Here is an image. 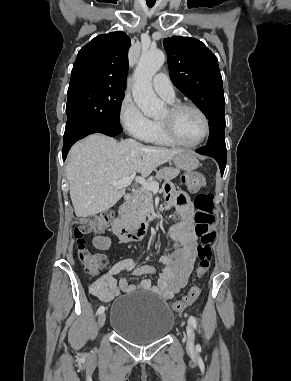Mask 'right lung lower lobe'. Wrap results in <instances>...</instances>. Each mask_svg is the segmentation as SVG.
Instances as JSON below:
<instances>
[{
  "label": "right lung lower lobe",
  "instance_id": "1",
  "mask_svg": "<svg viewBox=\"0 0 291 381\" xmlns=\"http://www.w3.org/2000/svg\"><path fill=\"white\" fill-rule=\"evenodd\" d=\"M121 132H122V127L120 126V124H110V125H102V126L92 128L86 131L85 133H83L81 136H79L76 139H71V140L64 139L63 151H62L63 161L66 159L68 151L71 148V146L79 139H82L86 137L87 135L93 134V133H103L108 136H116L120 134Z\"/></svg>",
  "mask_w": 291,
  "mask_h": 381
}]
</instances>
